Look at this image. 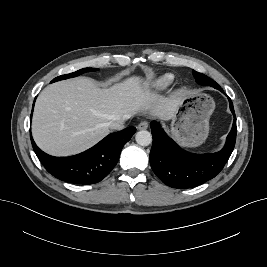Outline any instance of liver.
I'll use <instances>...</instances> for the list:
<instances>
[{"mask_svg": "<svg viewBox=\"0 0 267 267\" xmlns=\"http://www.w3.org/2000/svg\"><path fill=\"white\" fill-rule=\"evenodd\" d=\"M183 96L176 92L165 98L135 76L108 89H100L89 78L60 81L45 88L36 100L33 138L50 155H74L104 138L111 121L138 112L172 119Z\"/></svg>", "mask_w": 267, "mask_h": 267, "instance_id": "obj_1", "label": "liver"}]
</instances>
